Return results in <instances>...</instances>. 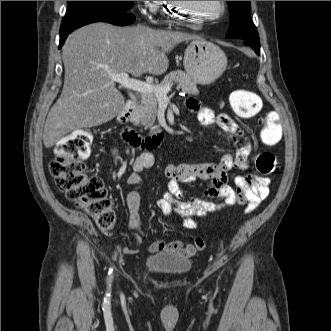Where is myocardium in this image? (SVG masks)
<instances>
[{"mask_svg": "<svg viewBox=\"0 0 331 331\" xmlns=\"http://www.w3.org/2000/svg\"><path fill=\"white\" fill-rule=\"evenodd\" d=\"M175 5H177L178 7H176L175 9H172L170 16L176 23L183 24V25H198V24L212 21L214 19H217V18H220L221 16H223L225 9H226L225 1H219V10L215 15H212V16L206 17V18H199L196 21V20L186 17L187 13L184 12L186 10V8L188 7L186 1H175Z\"/></svg>", "mask_w": 331, "mask_h": 331, "instance_id": "myocardium-1", "label": "myocardium"}]
</instances>
